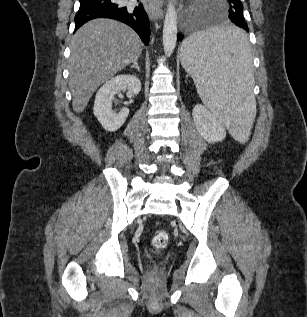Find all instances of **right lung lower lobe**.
<instances>
[{
    "label": "right lung lower lobe",
    "instance_id": "1",
    "mask_svg": "<svg viewBox=\"0 0 307 317\" xmlns=\"http://www.w3.org/2000/svg\"><path fill=\"white\" fill-rule=\"evenodd\" d=\"M80 8L75 15V31L84 23L96 18H111L132 27L145 45L149 44L150 25L142 5L129 10L116 0H79Z\"/></svg>",
    "mask_w": 307,
    "mask_h": 317
}]
</instances>
